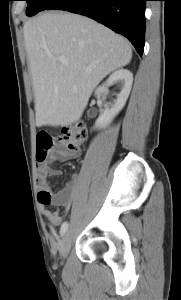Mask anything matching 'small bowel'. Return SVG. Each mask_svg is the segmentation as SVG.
<instances>
[{"label":"small bowel","mask_w":181,"mask_h":300,"mask_svg":"<svg viewBox=\"0 0 181 300\" xmlns=\"http://www.w3.org/2000/svg\"><path fill=\"white\" fill-rule=\"evenodd\" d=\"M75 156L76 154H71L66 156V158H73ZM58 160V151L52 150L47 158L43 162H40L37 168L38 202L43 207V215L55 227L59 226L62 222L60 209L68 210L71 207L77 191L75 181L69 183L58 192L51 190L49 177L60 175V171L52 167V164ZM48 206H55L56 210H51Z\"/></svg>","instance_id":"small-bowel-1"}]
</instances>
